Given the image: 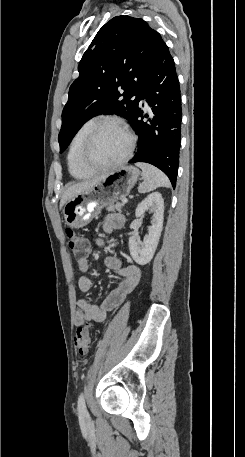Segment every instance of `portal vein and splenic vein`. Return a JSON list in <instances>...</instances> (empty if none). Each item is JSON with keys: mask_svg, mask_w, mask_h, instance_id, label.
<instances>
[{"mask_svg": "<svg viewBox=\"0 0 245 457\" xmlns=\"http://www.w3.org/2000/svg\"><path fill=\"white\" fill-rule=\"evenodd\" d=\"M122 202H127V198H122Z\"/></svg>", "mask_w": 245, "mask_h": 457, "instance_id": "portal-vein-and-splenic-vein-1", "label": "portal vein and splenic vein"}]
</instances>
